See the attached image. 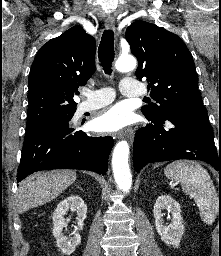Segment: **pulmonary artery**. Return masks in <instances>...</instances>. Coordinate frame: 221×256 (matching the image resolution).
<instances>
[{"label":"pulmonary artery","mask_w":221,"mask_h":256,"mask_svg":"<svg viewBox=\"0 0 221 256\" xmlns=\"http://www.w3.org/2000/svg\"><path fill=\"white\" fill-rule=\"evenodd\" d=\"M120 91L127 97H138L143 94L141 84L132 78H124L120 83ZM86 100L78 105L76 115L99 109L114 99V92L110 88L88 91L85 93Z\"/></svg>","instance_id":"e3ab8cb5"}]
</instances>
